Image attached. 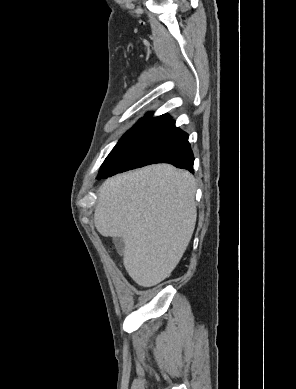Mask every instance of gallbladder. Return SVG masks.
Listing matches in <instances>:
<instances>
[{
  "instance_id": "obj_1",
  "label": "gallbladder",
  "mask_w": 296,
  "mask_h": 389,
  "mask_svg": "<svg viewBox=\"0 0 296 389\" xmlns=\"http://www.w3.org/2000/svg\"><path fill=\"white\" fill-rule=\"evenodd\" d=\"M112 242L118 254L123 255L125 249L123 239L121 237H113Z\"/></svg>"
}]
</instances>
